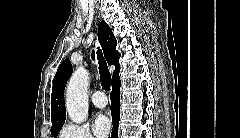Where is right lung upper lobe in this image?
Listing matches in <instances>:
<instances>
[{"mask_svg": "<svg viewBox=\"0 0 240 138\" xmlns=\"http://www.w3.org/2000/svg\"><path fill=\"white\" fill-rule=\"evenodd\" d=\"M98 38L101 43L104 56L109 65L115 66L112 82L119 80V53L115 51L117 41L112 33L110 27L105 21H101L98 26ZM94 58V52L92 53ZM72 73V65L69 59L64 60L59 66L53 80L52 102H51V122L52 126L64 124L66 117V109L64 103V89Z\"/></svg>", "mask_w": 240, "mask_h": 138, "instance_id": "right-lung-upper-lobe-1", "label": "right lung upper lobe"}]
</instances>
